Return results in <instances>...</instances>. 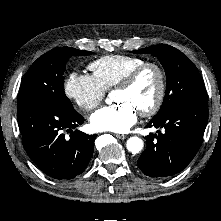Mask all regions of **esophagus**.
Wrapping results in <instances>:
<instances>
[{"instance_id":"obj_1","label":"esophagus","mask_w":221,"mask_h":221,"mask_svg":"<svg viewBox=\"0 0 221 221\" xmlns=\"http://www.w3.org/2000/svg\"><path fill=\"white\" fill-rule=\"evenodd\" d=\"M115 136L122 140L127 138V135L115 134Z\"/></svg>"}]
</instances>
